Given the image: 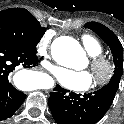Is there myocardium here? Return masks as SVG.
<instances>
[{"label":"myocardium","mask_w":124,"mask_h":124,"mask_svg":"<svg viewBox=\"0 0 124 124\" xmlns=\"http://www.w3.org/2000/svg\"><path fill=\"white\" fill-rule=\"evenodd\" d=\"M90 68L96 86L106 85L114 74V65L102 55L91 56Z\"/></svg>","instance_id":"myocardium-1"}]
</instances>
